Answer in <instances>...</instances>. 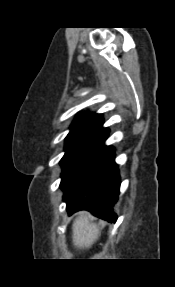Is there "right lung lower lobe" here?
Wrapping results in <instances>:
<instances>
[{
	"label": "right lung lower lobe",
	"mask_w": 175,
	"mask_h": 287,
	"mask_svg": "<svg viewBox=\"0 0 175 287\" xmlns=\"http://www.w3.org/2000/svg\"><path fill=\"white\" fill-rule=\"evenodd\" d=\"M114 157V149L103 142L62 180L63 200L69 214L88 210L116 222L113 206L118 200L120 176Z\"/></svg>",
	"instance_id": "98d812e1"
}]
</instances>
